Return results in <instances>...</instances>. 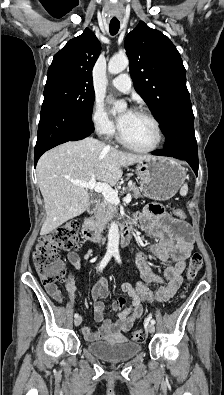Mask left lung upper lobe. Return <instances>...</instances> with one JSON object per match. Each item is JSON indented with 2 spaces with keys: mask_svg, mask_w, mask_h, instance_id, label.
<instances>
[{
  "mask_svg": "<svg viewBox=\"0 0 224 395\" xmlns=\"http://www.w3.org/2000/svg\"><path fill=\"white\" fill-rule=\"evenodd\" d=\"M124 46L134 88L164 132L175 115L192 109L180 54L167 36L143 21L126 36Z\"/></svg>",
  "mask_w": 224,
  "mask_h": 395,
  "instance_id": "obj_1",
  "label": "left lung upper lobe"
}]
</instances>
